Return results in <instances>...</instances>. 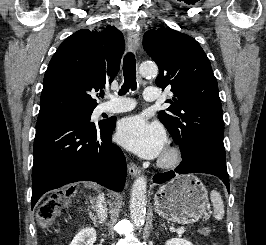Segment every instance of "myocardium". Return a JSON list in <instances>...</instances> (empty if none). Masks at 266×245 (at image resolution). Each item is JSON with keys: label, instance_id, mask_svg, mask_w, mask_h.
I'll return each mask as SVG.
<instances>
[{"label": "myocardium", "instance_id": "f54148a6", "mask_svg": "<svg viewBox=\"0 0 266 245\" xmlns=\"http://www.w3.org/2000/svg\"><path fill=\"white\" fill-rule=\"evenodd\" d=\"M180 157L181 151L179 147L171 145L164 151L158 164L162 168H172L178 164Z\"/></svg>", "mask_w": 266, "mask_h": 245}]
</instances>
